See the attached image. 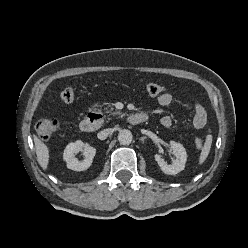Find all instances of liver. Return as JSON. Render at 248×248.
<instances>
[{
    "label": "liver",
    "mask_w": 248,
    "mask_h": 248,
    "mask_svg": "<svg viewBox=\"0 0 248 248\" xmlns=\"http://www.w3.org/2000/svg\"><path fill=\"white\" fill-rule=\"evenodd\" d=\"M33 140L35 144L37 161L39 165L46 170L49 163V149L37 136L34 135Z\"/></svg>",
    "instance_id": "liver-1"
}]
</instances>
